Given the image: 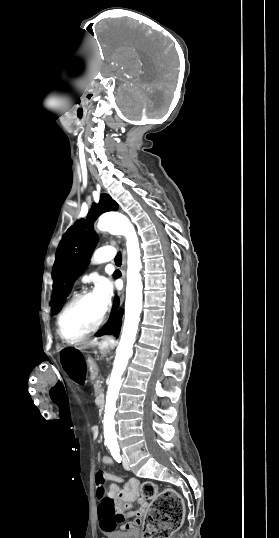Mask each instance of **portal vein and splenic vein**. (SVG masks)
Listing matches in <instances>:
<instances>
[{
	"instance_id": "18ae733b",
	"label": "portal vein and splenic vein",
	"mask_w": 279,
	"mask_h": 538,
	"mask_svg": "<svg viewBox=\"0 0 279 538\" xmlns=\"http://www.w3.org/2000/svg\"><path fill=\"white\" fill-rule=\"evenodd\" d=\"M100 383H103V380H100Z\"/></svg>"
}]
</instances>
